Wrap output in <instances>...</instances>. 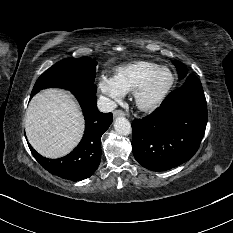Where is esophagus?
I'll use <instances>...</instances> for the list:
<instances>
[{
	"mask_svg": "<svg viewBox=\"0 0 233 233\" xmlns=\"http://www.w3.org/2000/svg\"><path fill=\"white\" fill-rule=\"evenodd\" d=\"M124 115H125V114H124V112H123L122 110H115V111L113 112L114 118L121 117V116H124Z\"/></svg>",
	"mask_w": 233,
	"mask_h": 233,
	"instance_id": "obj_1",
	"label": "esophagus"
}]
</instances>
